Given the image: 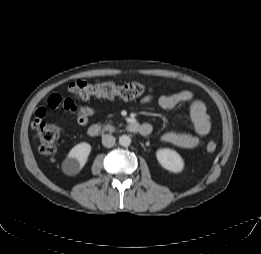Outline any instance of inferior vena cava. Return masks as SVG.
<instances>
[{"mask_svg":"<svg viewBox=\"0 0 261 254\" xmlns=\"http://www.w3.org/2000/svg\"><path fill=\"white\" fill-rule=\"evenodd\" d=\"M102 144L107 148L113 147L115 144V137L112 135H104L102 137Z\"/></svg>","mask_w":261,"mask_h":254,"instance_id":"602c4592","label":"inferior vena cava"}]
</instances>
